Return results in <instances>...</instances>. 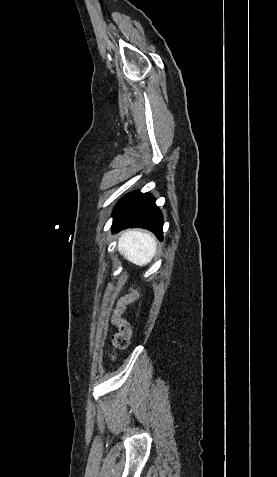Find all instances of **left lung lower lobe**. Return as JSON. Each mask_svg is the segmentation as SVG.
<instances>
[{
	"label": "left lung lower lobe",
	"mask_w": 277,
	"mask_h": 477,
	"mask_svg": "<svg viewBox=\"0 0 277 477\" xmlns=\"http://www.w3.org/2000/svg\"><path fill=\"white\" fill-rule=\"evenodd\" d=\"M113 233L129 227L146 228L162 240L163 217L148 193L132 192L121 199L113 211Z\"/></svg>",
	"instance_id": "obj_1"
}]
</instances>
